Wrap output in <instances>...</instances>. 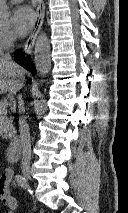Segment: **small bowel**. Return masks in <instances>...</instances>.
Returning a JSON list of instances; mask_svg holds the SVG:
<instances>
[{
    "mask_svg": "<svg viewBox=\"0 0 128 213\" xmlns=\"http://www.w3.org/2000/svg\"><path fill=\"white\" fill-rule=\"evenodd\" d=\"M14 180V170L12 167H5L0 174V200L5 207L7 213H15L18 208L17 199L11 194L9 185Z\"/></svg>",
    "mask_w": 128,
    "mask_h": 213,
    "instance_id": "small-bowel-1",
    "label": "small bowel"
}]
</instances>
